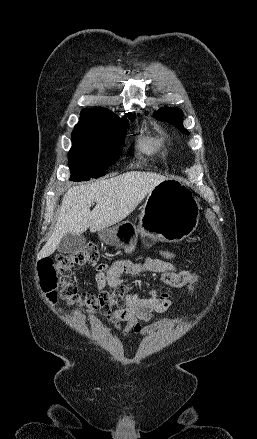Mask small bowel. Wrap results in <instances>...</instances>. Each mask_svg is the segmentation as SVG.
I'll return each instance as SVG.
<instances>
[{
	"mask_svg": "<svg viewBox=\"0 0 257 439\" xmlns=\"http://www.w3.org/2000/svg\"><path fill=\"white\" fill-rule=\"evenodd\" d=\"M159 255L160 258L148 260L143 264L129 260L119 261L111 266L99 264L95 272L97 287L102 289L108 286L113 289L121 284L122 275L139 276L147 273L177 272L176 265L173 263V260L177 258L176 253L160 250ZM189 289L193 290L192 285ZM170 306L171 300L168 293H158L152 290L147 296L128 295L125 306L108 312L106 318L123 336L131 334L148 336L154 333L153 328L143 327L140 321H151L156 313L166 312ZM120 321L126 322V326L122 329L119 326Z\"/></svg>",
	"mask_w": 257,
	"mask_h": 439,
	"instance_id": "small-bowel-1",
	"label": "small bowel"
}]
</instances>
